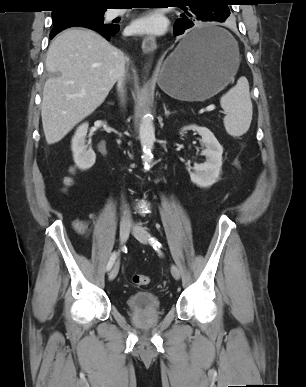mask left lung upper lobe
Masks as SVG:
<instances>
[{"label":"left lung upper lobe","mask_w":306,"mask_h":387,"mask_svg":"<svg viewBox=\"0 0 306 387\" xmlns=\"http://www.w3.org/2000/svg\"><path fill=\"white\" fill-rule=\"evenodd\" d=\"M227 0H185L186 5L181 7L186 14H182V18H188L192 21H219L224 22L229 16L230 11L227 6ZM180 19V18H178Z\"/></svg>","instance_id":"left-lung-upper-lobe-1"}]
</instances>
